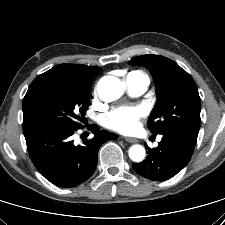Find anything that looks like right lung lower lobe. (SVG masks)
Masks as SVG:
<instances>
[{
  "label": "right lung lower lobe",
  "instance_id": "obj_1",
  "mask_svg": "<svg viewBox=\"0 0 225 225\" xmlns=\"http://www.w3.org/2000/svg\"><path fill=\"white\" fill-rule=\"evenodd\" d=\"M76 130L43 119L23 122L33 164L47 180L59 187L70 188L86 181L94 173L100 146L118 138L116 134L95 129L92 139L75 146L71 136Z\"/></svg>",
  "mask_w": 225,
  "mask_h": 225
}]
</instances>
